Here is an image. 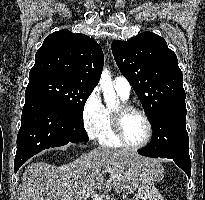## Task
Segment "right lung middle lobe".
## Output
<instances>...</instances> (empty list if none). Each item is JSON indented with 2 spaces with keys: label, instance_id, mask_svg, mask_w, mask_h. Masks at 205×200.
I'll return each mask as SVG.
<instances>
[{
  "label": "right lung middle lobe",
  "instance_id": "right-lung-middle-lobe-1",
  "mask_svg": "<svg viewBox=\"0 0 205 200\" xmlns=\"http://www.w3.org/2000/svg\"><path fill=\"white\" fill-rule=\"evenodd\" d=\"M93 87L55 75L29 79L25 95L46 98L83 124V109Z\"/></svg>",
  "mask_w": 205,
  "mask_h": 200
}]
</instances>
